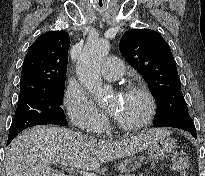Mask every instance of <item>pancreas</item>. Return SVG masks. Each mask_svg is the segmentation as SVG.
Returning <instances> with one entry per match:
<instances>
[{
    "mask_svg": "<svg viewBox=\"0 0 205 176\" xmlns=\"http://www.w3.org/2000/svg\"><path fill=\"white\" fill-rule=\"evenodd\" d=\"M125 176H134V175H125Z\"/></svg>",
    "mask_w": 205,
    "mask_h": 176,
    "instance_id": "1",
    "label": "pancreas"
}]
</instances>
